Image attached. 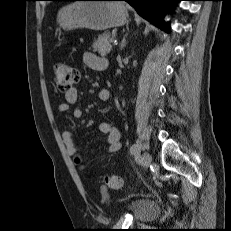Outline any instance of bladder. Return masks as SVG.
Here are the masks:
<instances>
[{"label":"bladder","mask_w":231,"mask_h":231,"mask_svg":"<svg viewBox=\"0 0 231 231\" xmlns=\"http://www.w3.org/2000/svg\"><path fill=\"white\" fill-rule=\"evenodd\" d=\"M133 218L137 221H149L159 214L158 205L151 200H138L129 206Z\"/></svg>","instance_id":"bladder-1"}]
</instances>
